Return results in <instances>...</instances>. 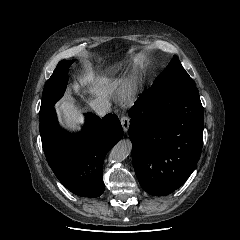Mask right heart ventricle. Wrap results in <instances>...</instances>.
Here are the masks:
<instances>
[{"mask_svg": "<svg viewBox=\"0 0 240 240\" xmlns=\"http://www.w3.org/2000/svg\"><path fill=\"white\" fill-rule=\"evenodd\" d=\"M118 72H119V67H118V68H115V69L112 71L113 74H117Z\"/></svg>", "mask_w": 240, "mask_h": 240, "instance_id": "1", "label": "right heart ventricle"}]
</instances>
